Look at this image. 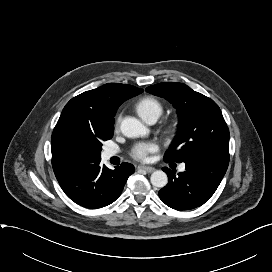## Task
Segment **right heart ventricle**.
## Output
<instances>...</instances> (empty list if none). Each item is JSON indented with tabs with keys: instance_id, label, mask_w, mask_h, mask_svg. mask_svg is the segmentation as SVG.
Returning <instances> with one entry per match:
<instances>
[{
	"instance_id": "obj_1",
	"label": "right heart ventricle",
	"mask_w": 272,
	"mask_h": 272,
	"mask_svg": "<svg viewBox=\"0 0 272 272\" xmlns=\"http://www.w3.org/2000/svg\"><path fill=\"white\" fill-rule=\"evenodd\" d=\"M136 111L148 122L152 118L158 119L163 112V105L158 99L147 96L137 102Z\"/></svg>"
}]
</instances>
